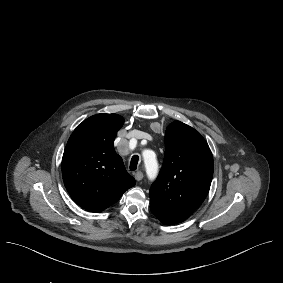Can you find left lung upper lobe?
<instances>
[{
  "instance_id": "obj_1",
  "label": "left lung upper lobe",
  "mask_w": 283,
  "mask_h": 283,
  "mask_svg": "<svg viewBox=\"0 0 283 283\" xmlns=\"http://www.w3.org/2000/svg\"><path fill=\"white\" fill-rule=\"evenodd\" d=\"M213 177V157L202 135L176 121L165 134L161 171L150 189V200L194 211L206 198Z\"/></svg>"
}]
</instances>
